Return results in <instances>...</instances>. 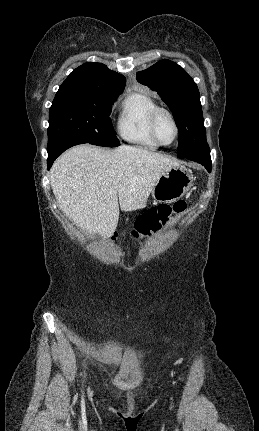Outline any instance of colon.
I'll return each mask as SVG.
<instances>
[{"label":"colon","instance_id":"colon-1","mask_svg":"<svg viewBox=\"0 0 259 431\" xmlns=\"http://www.w3.org/2000/svg\"><path fill=\"white\" fill-rule=\"evenodd\" d=\"M186 209V202L179 200L173 205L159 204L151 207L140 215L131 230V237L139 241L141 238L157 232L169 222L174 214L182 213Z\"/></svg>","mask_w":259,"mask_h":431}]
</instances>
